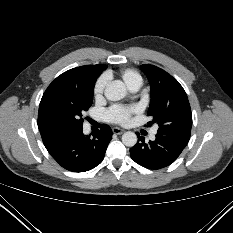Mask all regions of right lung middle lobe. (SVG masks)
Listing matches in <instances>:
<instances>
[{
    "mask_svg": "<svg viewBox=\"0 0 233 233\" xmlns=\"http://www.w3.org/2000/svg\"><path fill=\"white\" fill-rule=\"evenodd\" d=\"M95 80L44 93L38 113L40 130L58 133L82 127V113L92 105Z\"/></svg>",
    "mask_w": 233,
    "mask_h": 233,
    "instance_id": "dd1d6c3e",
    "label": "right lung middle lobe"
}]
</instances>
